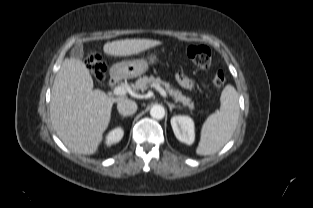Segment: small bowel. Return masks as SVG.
<instances>
[{
    "label": "small bowel",
    "instance_id": "1",
    "mask_svg": "<svg viewBox=\"0 0 313 208\" xmlns=\"http://www.w3.org/2000/svg\"><path fill=\"white\" fill-rule=\"evenodd\" d=\"M176 80L183 88L191 89L193 87V81L182 72L178 71L176 73Z\"/></svg>",
    "mask_w": 313,
    "mask_h": 208
}]
</instances>
